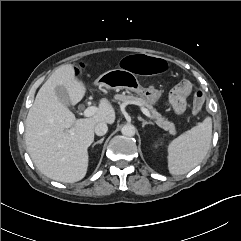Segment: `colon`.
I'll list each match as a JSON object with an SVG mask.
<instances>
[{
  "instance_id": "1",
  "label": "colon",
  "mask_w": 241,
  "mask_h": 241,
  "mask_svg": "<svg viewBox=\"0 0 241 241\" xmlns=\"http://www.w3.org/2000/svg\"><path fill=\"white\" fill-rule=\"evenodd\" d=\"M121 67L124 70L142 76L165 75L171 71L172 65L168 59L154 57L145 54H127L121 58ZM73 73L72 84L79 81L83 76L89 73V64L81 59L75 60L72 64L67 65ZM204 105V95L197 91L194 95L193 109L196 113L200 112Z\"/></svg>"
}]
</instances>
